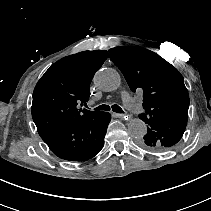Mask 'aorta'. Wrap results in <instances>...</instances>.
I'll list each match as a JSON object with an SVG mask.
<instances>
[{"mask_svg": "<svg viewBox=\"0 0 211 211\" xmlns=\"http://www.w3.org/2000/svg\"><path fill=\"white\" fill-rule=\"evenodd\" d=\"M94 84L106 92L119 88L121 78L118 72L111 68L100 69L94 76ZM129 133L135 138L143 137L147 132V126L143 120L134 118L128 123Z\"/></svg>", "mask_w": 211, "mask_h": 211, "instance_id": "762f6f07", "label": "aorta"}]
</instances>
